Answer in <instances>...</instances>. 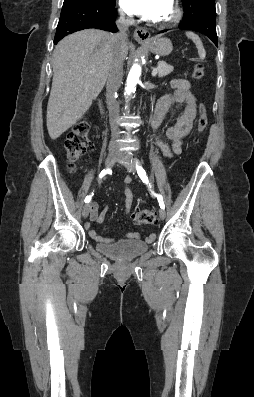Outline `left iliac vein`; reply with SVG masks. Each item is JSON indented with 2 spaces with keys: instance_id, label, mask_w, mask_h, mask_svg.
Wrapping results in <instances>:
<instances>
[{
  "instance_id": "4c4485c4",
  "label": "left iliac vein",
  "mask_w": 254,
  "mask_h": 397,
  "mask_svg": "<svg viewBox=\"0 0 254 397\" xmlns=\"http://www.w3.org/2000/svg\"><path fill=\"white\" fill-rule=\"evenodd\" d=\"M119 159H120L121 161L124 162L126 168H127L130 172H133V173L136 172L135 164H134V162H133L131 156H130L128 153H122V154L120 155V158H119ZM159 216H160V218H161L162 220L165 219V217H166V212H165L164 209L161 208V209L159 210Z\"/></svg>"
}]
</instances>
